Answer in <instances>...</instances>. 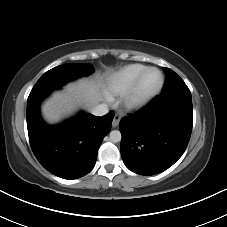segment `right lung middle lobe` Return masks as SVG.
Wrapping results in <instances>:
<instances>
[{"label": "right lung middle lobe", "mask_w": 227, "mask_h": 227, "mask_svg": "<svg viewBox=\"0 0 227 227\" xmlns=\"http://www.w3.org/2000/svg\"><path fill=\"white\" fill-rule=\"evenodd\" d=\"M93 72L90 64H65L44 73L30 92L28 99L50 92L66 82Z\"/></svg>", "instance_id": "obj_1"}]
</instances>
